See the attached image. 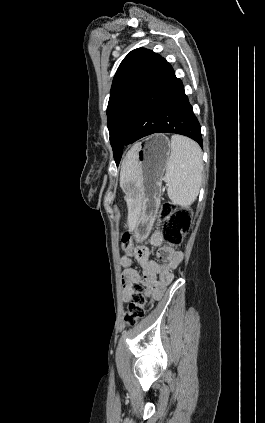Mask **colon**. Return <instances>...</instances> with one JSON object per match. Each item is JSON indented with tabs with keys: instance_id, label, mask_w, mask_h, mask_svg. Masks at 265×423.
Instances as JSON below:
<instances>
[{
	"instance_id": "5ec220e1",
	"label": "colon",
	"mask_w": 265,
	"mask_h": 423,
	"mask_svg": "<svg viewBox=\"0 0 265 423\" xmlns=\"http://www.w3.org/2000/svg\"><path fill=\"white\" fill-rule=\"evenodd\" d=\"M193 213L189 209L178 208L174 204L165 203L160 211L162 226V238L165 244L178 246L191 229ZM132 239L129 233L122 236L123 253L132 250ZM146 298L142 286L135 285L130 295V303L125 313V321L128 325L134 326L145 317Z\"/></svg>"
}]
</instances>
